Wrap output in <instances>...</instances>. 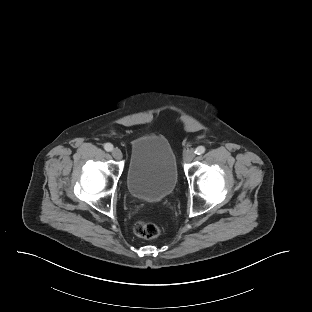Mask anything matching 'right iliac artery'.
<instances>
[{"mask_svg": "<svg viewBox=\"0 0 312 312\" xmlns=\"http://www.w3.org/2000/svg\"><path fill=\"white\" fill-rule=\"evenodd\" d=\"M104 149L106 150V151H112L113 150V145L111 144V143H106L105 145H104Z\"/></svg>", "mask_w": 312, "mask_h": 312, "instance_id": "obj_1", "label": "right iliac artery"}]
</instances>
